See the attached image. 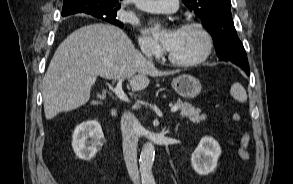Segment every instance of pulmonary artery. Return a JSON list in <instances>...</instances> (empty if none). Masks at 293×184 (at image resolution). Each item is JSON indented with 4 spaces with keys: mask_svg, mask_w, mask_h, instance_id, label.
I'll list each match as a JSON object with an SVG mask.
<instances>
[{
    "mask_svg": "<svg viewBox=\"0 0 293 184\" xmlns=\"http://www.w3.org/2000/svg\"><path fill=\"white\" fill-rule=\"evenodd\" d=\"M137 6L150 13H172L178 9L179 0H142Z\"/></svg>",
    "mask_w": 293,
    "mask_h": 184,
    "instance_id": "pulmonary-artery-1",
    "label": "pulmonary artery"
}]
</instances>
